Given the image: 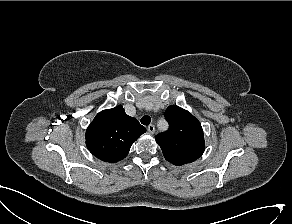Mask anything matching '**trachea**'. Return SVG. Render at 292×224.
<instances>
[{"instance_id": "3493384b", "label": "trachea", "mask_w": 292, "mask_h": 224, "mask_svg": "<svg viewBox=\"0 0 292 224\" xmlns=\"http://www.w3.org/2000/svg\"><path fill=\"white\" fill-rule=\"evenodd\" d=\"M150 122H151V118H150L148 115L143 116V117L141 118V123H142L143 125H149Z\"/></svg>"}]
</instances>
